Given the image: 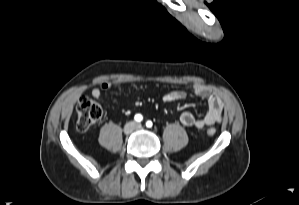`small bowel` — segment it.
Masks as SVG:
<instances>
[{"instance_id":"obj_1","label":"small bowel","mask_w":299,"mask_h":205,"mask_svg":"<svg viewBox=\"0 0 299 205\" xmlns=\"http://www.w3.org/2000/svg\"><path fill=\"white\" fill-rule=\"evenodd\" d=\"M119 81L103 82L99 87L94 88L91 92L92 97L99 100L102 91L111 90L120 86ZM193 93L197 97L205 98L207 100V111L202 117H196L191 112L185 111L180 115V122L186 127H195L202 129L206 126L216 124L222 119L223 103L220 97L210 92V90L202 84H195L193 86ZM186 97V92L182 90H173L163 96L165 102H174L182 100Z\"/></svg>"}]
</instances>
